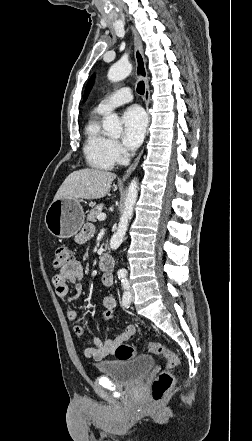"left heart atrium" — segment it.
Here are the masks:
<instances>
[{
	"mask_svg": "<svg viewBox=\"0 0 252 441\" xmlns=\"http://www.w3.org/2000/svg\"><path fill=\"white\" fill-rule=\"evenodd\" d=\"M123 143L129 149H136L143 141L147 117L144 110L137 105L129 107L123 114Z\"/></svg>",
	"mask_w": 252,
	"mask_h": 441,
	"instance_id": "obj_1",
	"label": "left heart atrium"
}]
</instances>
